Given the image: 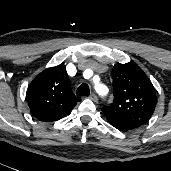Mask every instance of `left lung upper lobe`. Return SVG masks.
<instances>
[{
    "mask_svg": "<svg viewBox=\"0 0 171 171\" xmlns=\"http://www.w3.org/2000/svg\"><path fill=\"white\" fill-rule=\"evenodd\" d=\"M112 77L114 101L102 108L107 120L122 131L144 125L157 104L151 81L139 66L131 62L115 65Z\"/></svg>",
    "mask_w": 171,
    "mask_h": 171,
    "instance_id": "obj_1",
    "label": "left lung upper lobe"
}]
</instances>
